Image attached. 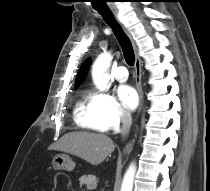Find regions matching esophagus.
<instances>
[{
  "label": "esophagus",
  "mask_w": 210,
  "mask_h": 191,
  "mask_svg": "<svg viewBox=\"0 0 210 191\" xmlns=\"http://www.w3.org/2000/svg\"><path fill=\"white\" fill-rule=\"evenodd\" d=\"M111 11L116 19V21L120 24V26L122 27V29L125 31V33L129 36V38L132 41L134 50H135V80H136V88L140 97V105H139V111L138 114H140L141 110H142V105H143V89H142V64H141V60L140 57L137 53V48L135 45V42L132 39V36L130 34V32L128 31V29L125 27V25L120 21L119 17H118V10L116 7H111ZM133 140L130 141L125 149H124V153H129L132 149L133 146Z\"/></svg>",
  "instance_id": "obj_1"
}]
</instances>
